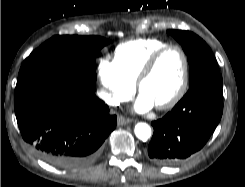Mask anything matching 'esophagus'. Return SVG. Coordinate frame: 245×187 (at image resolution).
Returning <instances> with one entry per match:
<instances>
[{
	"mask_svg": "<svg viewBox=\"0 0 245 187\" xmlns=\"http://www.w3.org/2000/svg\"><path fill=\"white\" fill-rule=\"evenodd\" d=\"M130 122H131L130 118H125L123 116H118L117 118L118 126H123V125L129 124Z\"/></svg>",
	"mask_w": 245,
	"mask_h": 187,
	"instance_id": "1",
	"label": "esophagus"
}]
</instances>
